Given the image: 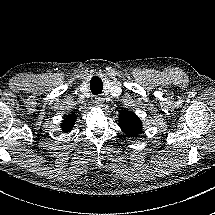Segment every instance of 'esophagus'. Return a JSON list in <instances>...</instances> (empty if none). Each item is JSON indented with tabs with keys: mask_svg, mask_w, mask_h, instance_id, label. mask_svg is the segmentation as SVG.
Returning a JSON list of instances; mask_svg holds the SVG:
<instances>
[{
	"mask_svg": "<svg viewBox=\"0 0 215 215\" xmlns=\"http://www.w3.org/2000/svg\"><path fill=\"white\" fill-rule=\"evenodd\" d=\"M103 102H104V100H103V98H101V97H97V98H95V100H94V104H95L96 106H99V107H101V106L103 105Z\"/></svg>",
	"mask_w": 215,
	"mask_h": 215,
	"instance_id": "obj_1",
	"label": "esophagus"
}]
</instances>
